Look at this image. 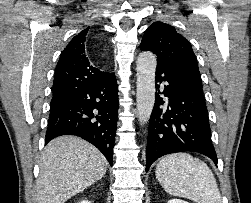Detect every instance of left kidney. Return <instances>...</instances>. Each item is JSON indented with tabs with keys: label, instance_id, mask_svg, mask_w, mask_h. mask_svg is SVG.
Masks as SVG:
<instances>
[{
	"label": "left kidney",
	"instance_id": "5707ae66",
	"mask_svg": "<svg viewBox=\"0 0 251 203\" xmlns=\"http://www.w3.org/2000/svg\"><path fill=\"white\" fill-rule=\"evenodd\" d=\"M168 203H188V202L174 198L169 200Z\"/></svg>",
	"mask_w": 251,
	"mask_h": 203
}]
</instances>
